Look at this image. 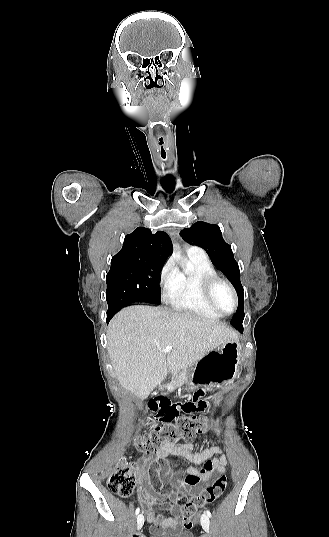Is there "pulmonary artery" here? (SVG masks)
<instances>
[{
	"mask_svg": "<svg viewBox=\"0 0 329 537\" xmlns=\"http://www.w3.org/2000/svg\"><path fill=\"white\" fill-rule=\"evenodd\" d=\"M188 254L194 255V256H206L205 251L202 248L197 247V246H191L188 249Z\"/></svg>",
	"mask_w": 329,
	"mask_h": 537,
	"instance_id": "obj_1",
	"label": "pulmonary artery"
}]
</instances>
